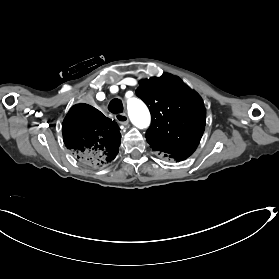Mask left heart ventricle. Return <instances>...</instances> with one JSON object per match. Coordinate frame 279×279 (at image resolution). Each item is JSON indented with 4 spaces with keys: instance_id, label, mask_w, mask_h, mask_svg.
I'll return each instance as SVG.
<instances>
[{
    "instance_id": "left-heart-ventricle-1",
    "label": "left heart ventricle",
    "mask_w": 279,
    "mask_h": 279,
    "mask_svg": "<svg viewBox=\"0 0 279 279\" xmlns=\"http://www.w3.org/2000/svg\"><path fill=\"white\" fill-rule=\"evenodd\" d=\"M101 75H103V74H100V76L98 77V79L96 81L97 85H101L103 82V77ZM99 96L102 97V94L100 93ZM88 98L90 99V97H88Z\"/></svg>"
}]
</instances>
